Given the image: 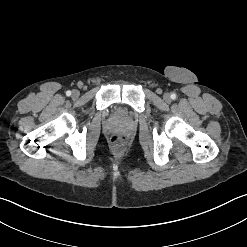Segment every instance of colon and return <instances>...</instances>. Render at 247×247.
I'll use <instances>...</instances> for the list:
<instances>
[{"label": "colon", "instance_id": "5ec220e1", "mask_svg": "<svg viewBox=\"0 0 247 247\" xmlns=\"http://www.w3.org/2000/svg\"><path fill=\"white\" fill-rule=\"evenodd\" d=\"M111 142L114 145L121 146L125 143V137L123 136H113Z\"/></svg>", "mask_w": 247, "mask_h": 247}]
</instances>
